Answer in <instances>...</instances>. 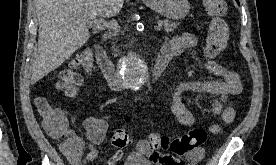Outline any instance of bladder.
Segmentation results:
<instances>
[{"mask_svg": "<svg viewBox=\"0 0 276 165\" xmlns=\"http://www.w3.org/2000/svg\"><path fill=\"white\" fill-rule=\"evenodd\" d=\"M124 165H152V164L146 158L140 155H134Z\"/></svg>", "mask_w": 276, "mask_h": 165, "instance_id": "bladder-1", "label": "bladder"}]
</instances>
